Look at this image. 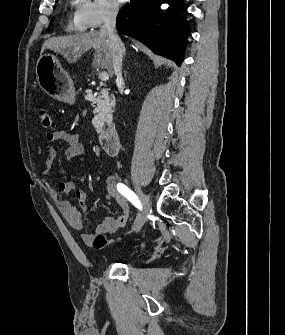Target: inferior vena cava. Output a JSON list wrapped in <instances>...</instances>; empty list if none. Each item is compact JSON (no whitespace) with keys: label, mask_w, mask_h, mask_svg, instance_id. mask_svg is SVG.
Segmentation results:
<instances>
[{"label":"inferior vena cava","mask_w":285,"mask_h":335,"mask_svg":"<svg viewBox=\"0 0 285 335\" xmlns=\"http://www.w3.org/2000/svg\"><path fill=\"white\" fill-rule=\"evenodd\" d=\"M118 10L119 6L115 0H106L104 24L101 26L100 32L107 36L110 48L113 52L112 64L117 76L116 82L121 92L124 84L121 70L123 56H125V46L116 32V16Z\"/></svg>","instance_id":"602c4592"}]
</instances>
